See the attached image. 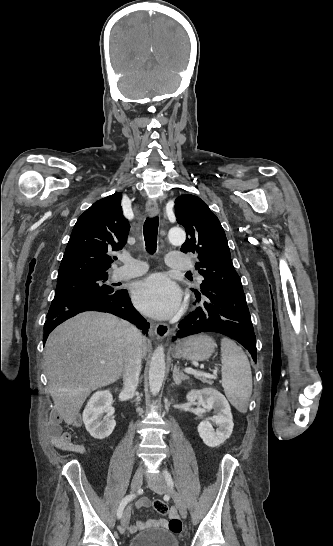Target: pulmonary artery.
Instances as JSON below:
<instances>
[{"instance_id":"e3ab8cb5","label":"pulmonary artery","mask_w":333,"mask_h":546,"mask_svg":"<svg viewBox=\"0 0 333 546\" xmlns=\"http://www.w3.org/2000/svg\"><path fill=\"white\" fill-rule=\"evenodd\" d=\"M123 265L112 272L114 280H123L139 276L147 271V265L132 257H123ZM166 263L170 268L178 270H187L191 267V260L184 254L170 252L167 254Z\"/></svg>"}]
</instances>
